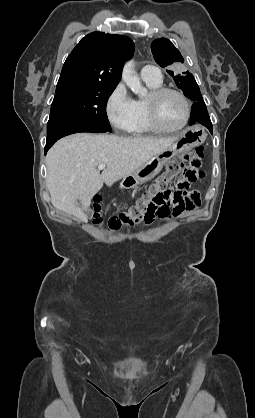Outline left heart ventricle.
<instances>
[{"mask_svg": "<svg viewBox=\"0 0 255 418\" xmlns=\"http://www.w3.org/2000/svg\"><path fill=\"white\" fill-rule=\"evenodd\" d=\"M185 115V104L179 96L167 94L160 100L159 117L165 127L174 128L181 125Z\"/></svg>", "mask_w": 255, "mask_h": 418, "instance_id": "1", "label": "left heart ventricle"}]
</instances>
